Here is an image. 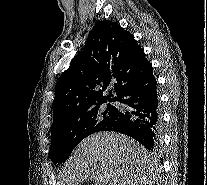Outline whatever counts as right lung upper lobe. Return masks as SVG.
I'll return each mask as SVG.
<instances>
[{
    "mask_svg": "<svg viewBox=\"0 0 207 185\" xmlns=\"http://www.w3.org/2000/svg\"><path fill=\"white\" fill-rule=\"evenodd\" d=\"M152 73L150 62L132 34L110 20L99 21L83 51L73 58L56 84L52 127L115 101L116 97L110 98L112 90L103 96L108 85L118 93L125 84Z\"/></svg>",
    "mask_w": 207,
    "mask_h": 185,
    "instance_id": "obj_1",
    "label": "right lung upper lobe"
}]
</instances>
